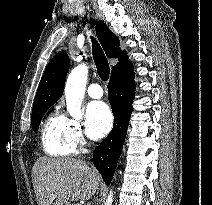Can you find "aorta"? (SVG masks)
<instances>
[{
    "label": "aorta",
    "instance_id": "aorta-1",
    "mask_svg": "<svg viewBox=\"0 0 212 205\" xmlns=\"http://www.w3.org/2000/svg\"><path fill=\"white\" fill-rule=\"evenodd\" d=\"M88 66L80 64L69 74L65 85V98L69 113L75 117H81V104L85 94V87L88 77ZM113 193L110 191L105 205H112Z\"/></svg>",
    "mask_w": 212,
    "mask_h": 205
}]
</instances>
